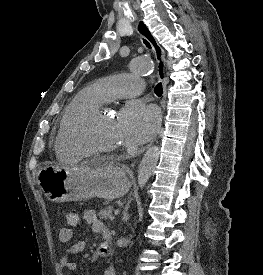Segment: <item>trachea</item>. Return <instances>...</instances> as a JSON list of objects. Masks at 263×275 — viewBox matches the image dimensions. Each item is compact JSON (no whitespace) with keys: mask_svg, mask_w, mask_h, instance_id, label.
Returning a JSON list of instances; mask_svg holds the SVG:
<instances>
[{"mask_svg":"<svg viewBox=\"0 0 263 275\" xmlns=\"http://www.w3.org/2000/svg\"><path fill=\"white\" fill-rule=\"evenodd\" d=\"M144 43L147 47L151 48L149 42L147 40L144 39ZM154 92L157 96H161L162 93H163V87H162V84L161 83H158L156 85V87L154 88Z\"/></svg>","mask_w":263,"mask_h":275,"instance_id":"trachea-1","label":"trachea"}]
</instances>
